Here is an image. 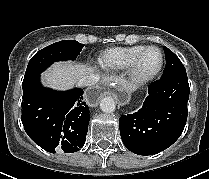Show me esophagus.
<instances>
[{"label": "esophagus", "instance_id": "esophagus-1", "mask_svg": "<svg viewBox=\"0 0 209 179\" xmlns=\"http://www.w3.org/2000/svg\"><path fill=\"white\" fill-rule=\"evenodd\" d=\"M104 93L113 95L119 105H124L127 102V96L123 92V89L115 83L110 82L100 83L88 90L86 92V102L89 105H94L97 102V98Z\"/></svg>", "mask_w": 209, "mask_h": 179}]
</instances>
